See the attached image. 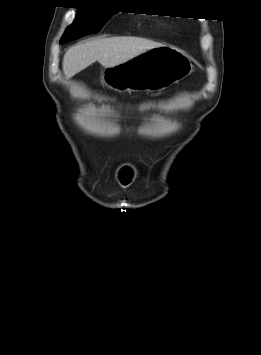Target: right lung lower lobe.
Listing matches in <instances>:
<instances>
[{"label":"right lung lower lobe","instance_id":"right-lung-lower-lobe-1","mask_svg":"<svg viewBox=\"0 0 261 355\" xmlns=\"http://www.w3.org/2000/svg\"><path fill=\"white\" fill-rule=\"evenodd\" d=\"M68 41H70V39H68V40H61V44H62V43H65V42H68Z\"/></svg>","mask_w":261,"mask_h":355}]
</instances>
